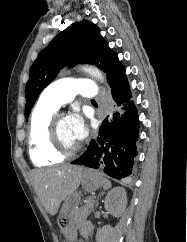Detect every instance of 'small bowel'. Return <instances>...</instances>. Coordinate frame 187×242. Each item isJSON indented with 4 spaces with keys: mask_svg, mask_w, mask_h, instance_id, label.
Wrapping results in <instances>:
<instances>
[{
    "mask_svg": "<svg viewBox=\"0 0 187 242\" xmlns=\"http://www.w3.org/2000/svg\"><path fill=\"white\" fill-rule=\"evenodd\" d=\"M92 226L89 222H83L80 225V233L82 236L86 237L91 233Z\"/></svg>",
    "mask_w": 187,
    "mask_h": 242,
    "instance_id": "obj_1",
    "label": "small bowel"
}]
</instances>
